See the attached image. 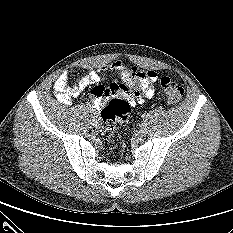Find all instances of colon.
I'll return each mask as SVG.
<instances>
[{"instance_id": "5ec220e1", "label": "colon", "mask_w": 233, "mask_h": 233, "mask_svg": "<svg viewBox=\"0 0 233 233\" xmlns=\"http://www.w3.org/2000/svg\"><path fill=\"white\" fill-rule=\"evenodd\" d=\"M129 76L132 80L130 91L137 94L140 84L148 77V73L137 67H131ZM160 85L170 104H178L183 96V88L169 77L164 76ZM130 103L126 97L115 96L101 111V133L104 138L110 139L113 136L115 123L125 121L130 111Z\"/></svg>"}]
</instances>
